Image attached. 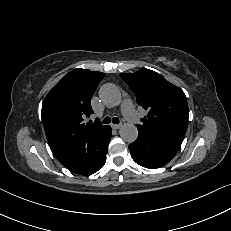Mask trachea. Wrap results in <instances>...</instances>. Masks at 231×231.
Listing matches in <instances>:
<instances>
[{
	"mask_svg": "<svg viewBox=\"0 0 231 231\" xmlns=\"http://www.w3.org/2000/svg\"><path fill=\"white\" fill-rule=\"evenodd\" d=\"M114 123V124H119V119L117 117H114L112 120L110 117H105L104 120L102 121L104 124H109V123Z\"/></svg>",
	"mask_w": 231,
	"mask_h": 231,
	"instance_id": "3493384b",
	"label": "trachea"
}]
</instances>
